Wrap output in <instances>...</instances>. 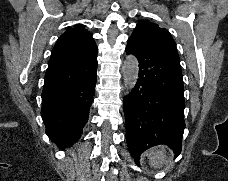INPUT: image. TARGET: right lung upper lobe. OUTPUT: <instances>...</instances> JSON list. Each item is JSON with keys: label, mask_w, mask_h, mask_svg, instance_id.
<instances>
[{"label": "right lung upper lobe", "mask_w": 228, "mask_h": 181, "mask_svg": "<svg viewBox=\"0 0 228 181\" xmlns=\"http://www.w3.org/2000/svg\"><path fill=\"white\" fill-rule=\"evenodd\" d=\"M96 47L92 35L81 24L69 28L54 46L49 63L66 59Z\"/></svg>", "instance_id": "cb5924a9"}]
</instances>
